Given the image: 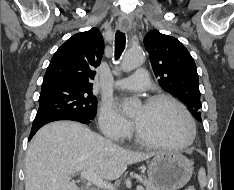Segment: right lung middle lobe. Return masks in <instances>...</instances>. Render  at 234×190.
I'll use <instances>...</instances> for the list:
<instances>
[{
  "label": "right lung middle lobe",
  "mask_w": 234,
  "mask_h": 190,
  "mask_svg": "<svg viewBox=\"0 0 234 190\" xmlns=\"http://www.w3.org/2000/svg\"><path fill=\"white\" fill-rule=\"evenodd\" d=\"M95 112L96 96L91 88L63 84L43 85L32 127L56 116H72L90 121Z\"/></svg>",
  "instance_id": "obj_1"
}]
</instances>
